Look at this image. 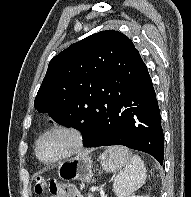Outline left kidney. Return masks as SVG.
<instances>
[{"instance_id":"left-kidney-1","label":"left kidney","mask_w":191,"mask_h":197,"mask_svg":"<svg viewBox=\"0 0 191 197\" xmlns=\"http://www.w3.org/2000/svg\"><path fill=\"white\" fill-rule=\"evenodd\" d=\"M130 197H146V196L132 195Z\"/></svg>"}]
</instances>
